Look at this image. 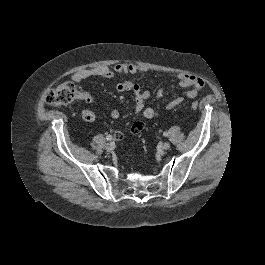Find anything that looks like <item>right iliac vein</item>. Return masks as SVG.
Listing matches in <instances>:
<instances>
[{
	"instance_id": "63e3f726",
	"label": "right iliac vein",
	"mask_w": 265,
	"mask_h": 265,
	"mask_svg": "<svg viewBox=\"0 0 265 265\" xmlns=\"http://www.w3.org/2000/svg\"><path fill=\"white\" fill-rule=\"evenodd\" d=\"M105 149L107 150V152H111L113 150V145L111 143H107Z\"/></svg>"
}]
</instances>
